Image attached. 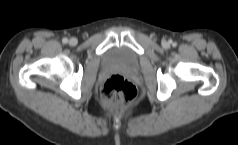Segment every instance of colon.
<instances>
[{"mask_svg": "<svg viewBox=\"0 0 238 145\" xmlns=\"http://www.w3.org/2000/svg\"><path fill=\"white\" fill-rule=\"evenodd\" d=\"M100 94L108 106L120 109L135 100L137 91L126 78L112 75L102 85Z\"/></svg>", "mask_w": 238, "mask_h": 145, "instance_id": "5ec220e1", "label": "colon"}]
</instances>
